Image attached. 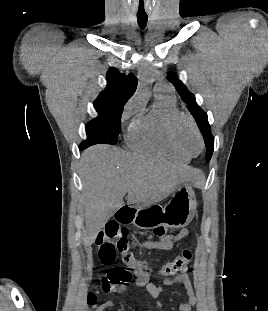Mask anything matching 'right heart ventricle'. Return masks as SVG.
<instances>
[{"instance_id": "e07e8e85", "label": "right heart ventricle", "mask_w": 268, "mask_h": 311, "mask_svg": "<svg viewBox=\"0 0 268 311\" xmlns=\"http://www.w3.org/2000/svg\"><path fill=\"white\" fill-rule=\"evenodd\" d=\"M177 111L173 97L158 94L153 107L147 112H139L129 126L127 143L138 152L188 163L189 158L178 152L170 143L167 121Z\"/></svg>"}]
</instances>
